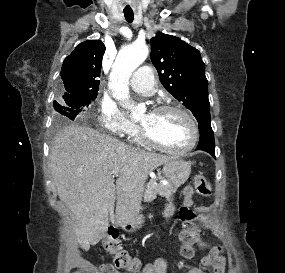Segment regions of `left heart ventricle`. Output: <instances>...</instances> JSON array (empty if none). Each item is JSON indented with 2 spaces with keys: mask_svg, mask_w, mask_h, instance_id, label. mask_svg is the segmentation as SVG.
Wrapping results in <instances>:
<instances>
[{
  "mask_svg": "<svg viewBox=\"0 0 285 273\" xmlns=\"http://www.w3.org/2000/svg\"><path fill=\"white\" fill-rule=\"evenodd\" d=\"M141 125L158 142L180 148L191 138V127L187 119L178 112H151L140 119Z\"/></svg>",
  "mask_w": 285,
  "mask_h": 273,
  "instance_id": "b2bd125f",
  "label": "left heart ventricle"
}]
</instances>
